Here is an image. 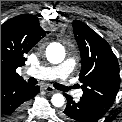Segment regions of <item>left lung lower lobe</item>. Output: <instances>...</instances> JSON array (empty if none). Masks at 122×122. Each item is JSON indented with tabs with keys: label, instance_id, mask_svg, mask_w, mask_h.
<instances>
[{
	"label": "left lung lower lobe",
	"instance_id": "left-lung-lower-lobe-1",
	"mask_svg": "<svg viewBox=\"0 0 122 122\" xmlns=\"http://www.w3.org/2000/svg\"><path fill=\"white\" fill-rule=\"evenodd\" d=\"M67 106L61 112L65 122H95L100 119L110 107L87 97H82L78 102L65 94Z\"/></svg>",
	"mask_w": 122,
	"mask_h": 122
}]
</instances>
